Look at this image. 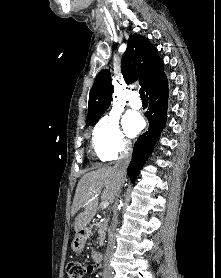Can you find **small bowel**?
Wrapping results in <instances>:
<instances>
[{
  "label": "small bowel",
  "instance_id": "obj_1",
  "mask_svg": "<svg viewBox=\"0 0 221 278\" xmlns=\"http://www.w3.org/2000/svg\"><path fill=\"white\" fill-rule=\"evenodd\" d=\"M91 266V272H90V274H93L95 271H96V267L95 266H92V265H90Z\"/></svg>",
  "mask_w": 221,
  "mask_h": 278
}]
</instances>
